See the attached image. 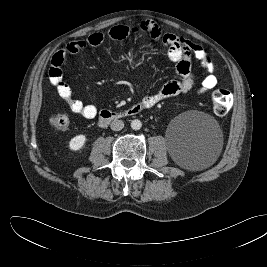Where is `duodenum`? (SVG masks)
Segmentation results:
<instances>
[{"label":"duodenum","mask_w":267,"mask_h":267,"mask_svg":"<svg viewBox=\"0 0 267 267\" xmlns=\"http://www.w3.org/2000/svg\"><path fill=\"white\" fill-rule=\"evenodd\" d=\"M144 109H147V107L142 103H138L124 111L102 110L100 112L98 122L100 125H106L115 120H120L137 115Z\"/></svg>","instance_id":"duodenum-1"}]
</instances>
